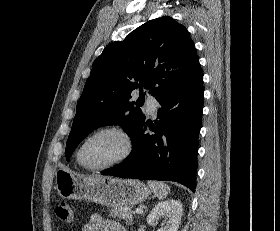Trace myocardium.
I'll list each match as a JSON object with an SVG mask.
<instances>
[{"label":"myocardium","mask_w":280,"mask_h":231,"mask_svg":"<svg viewBox=\"0 0 280 231\" xmlns=\"http://www.w3.org/2000/svg\"><path fill=\"white\" fill-rule=\"evenodd\" d=\"M105 132H114V133L119 134L123 138V141H124V145H125L124 151L117 159L113 160L112 162H110V163H108L104 166H101V167L88 166L87 164L84 163V161L82 159L83 150H84L86 144L89 142L90 139H92L93 137H95V136H97L101 133H105ZM132 149H133L132 139H131V136L129 135V133L127 132V130L124 129L123 127H121V126L109 125V126H105V127H102L100 129L94 131L93 133L88 135L83 140V142L81 143V145H80V147L77 151L76 159H77V162H78L79 166L82 167L84 170H87V171H103V170L114 167V166L124 162L130 156V154L132 152Z\"/></svg>","instance_id":"f54148a6"}]
</instances>
